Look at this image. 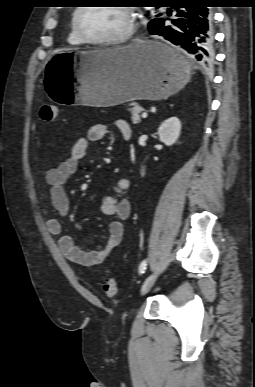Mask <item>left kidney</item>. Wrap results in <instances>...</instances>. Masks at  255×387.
Here are the masks:
<instances>
[{
	"mask_svg": "<svg viewBox=\"0 0 255 387\" xmlns=\"http://www.w3.org/2000/svg\"><path fill=\"white\" fill-rule=\"evenodd\" d=\"M181 131V122L177 117H170L158 128L160 140L167 146L176 143Z\"/></svg>",
	"mask_w": 255,
	"mask_h": 387,
	"instance_id": "left-kidney-1",
	"label": "left kidney"
}]
</instances>
